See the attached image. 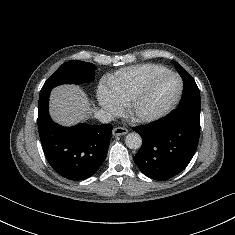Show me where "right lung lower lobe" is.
<instances>
[{"label":"right lung lower lobe","mask_w":235,"mask_h":235,"mask_svg":"<svg viewBox=\"0 0 235 235\" xmlns=\"http://www.w3.org/2000/svg\"><path fill=\"white\" fill-rule=\"evenodd\" d=\"M49 92L39 95L38 131L47 161L61 176L83 180L92 176L107 156L112 125L63 127L49 116Z\"/></svg>","instance_id":"1"}]
</instances>
